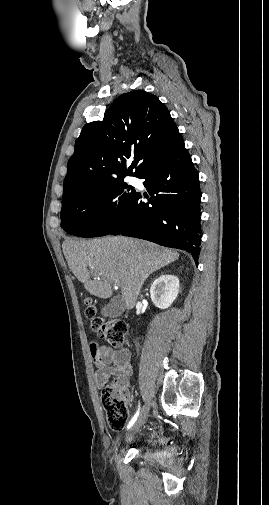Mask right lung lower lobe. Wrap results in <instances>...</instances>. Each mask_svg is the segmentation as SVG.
I'll use <instances>...</instances> for the list:
<instances>
[{
  "mask_svg": "<svg viewBox=\"0 0 269 505\" xmlns=\"http://www.w3.org/2000/svg\"><path fill=\"white\" fill-rule=\"evenodd\" d=\"M151 196L137 192L120 223L109 233L190 252L198 265L201 244L199 176L184 143L138 176ZM147 198V196H145Z\"/></svg>",
  "mask_w": 269,
  "mask_h": 505,
  "instance_id": "right-lung-lower-lobe-1",
  "label": "right lung lower lobe"
}]
</instances>
